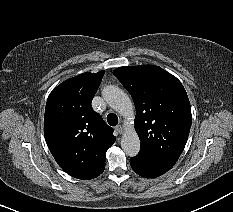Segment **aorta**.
I'll list each match as a JSON object with an SVG mask.
<instances>
[{"label": "aorta", "mask_w": 233, "mask_h": 212, "mask_svg": "<svg viewBox=\"0 0 233 212\" xmlns=\"http://www.w3.org/2000/svg\"><path fill=\"white\" fill-rule=\"evenodd\" d=\"M102 95L110 107L119 112L121 115L132 119L134 117V108L129 96L114 85L106 86ZM121 147L126 155L136 156L140 151V139L133 128H128L122 138Z\"/></svg>", "instance_id": "762f6f07"}]
</instances>
